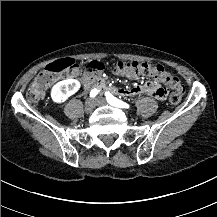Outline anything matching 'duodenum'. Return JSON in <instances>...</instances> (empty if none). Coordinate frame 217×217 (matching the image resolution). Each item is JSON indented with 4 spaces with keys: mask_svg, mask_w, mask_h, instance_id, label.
Returning <instances> with one entry per match:
<instances>
[{
    "mask_svg": "<svg viewBox=\"0 0 217 217\" xmlns=\"http://www.w3.org/2000/svg\"><path fill=\"white\" fill-rule=\"evenodd\" d=\"M86 89H100L105 93L118 94L121 89L118 87L110 86L103 78L90 75L84 79Z\"/></svg>",
    "mask_w": 217,
    "mask_h": 217,
    "instance_id": "obj_1",
    "label": "duodenum"
}]
</instances>
